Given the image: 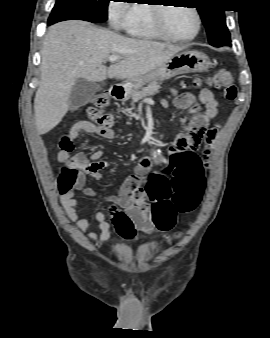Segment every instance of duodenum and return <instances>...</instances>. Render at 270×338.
Returning a JSON list of instances; mask_svg holds the SVG:
<instances>
[{
    "label": "duodenum",
    "instance_id": "duodenum-1",
    "mask_svg": "<svg viewBox=\"0 0 270 338\" xmlns=\"http://www.w3.org/2000/svg\"><path fill=\"white\" fill-rule=\"evenodd\" d=\"M108 95L113 100H121L125 95V87L123 85H114L109 90Z\"/></svg>",
    "mask_w": 270,
    "mask_h": 338
}]
</instances>
